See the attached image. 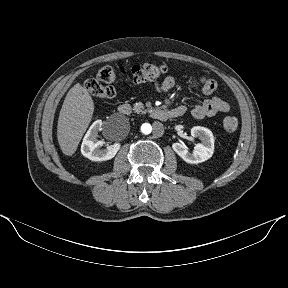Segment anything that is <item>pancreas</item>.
Segmentation results:
<instances>
[{"label": "pancreas", "instance_id": "obj_1", "mask_svg": "<svg viewBox=\"0 0 288 288\" xmlns=\"http://www.w3.org/2000/svg\"><path fill=\"white\" fill-rule=\"evenodd\" d=\"M133 110L137 113H148L150 109H145V106L143 103H135L133 106Z\"/></svg>", "mask_w": 288, "mask_h": 288}]
</instances>
